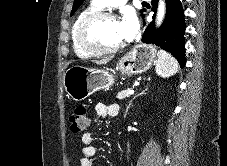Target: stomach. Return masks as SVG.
<instances>
[{"instance_id": "1", "label": "stomach", "mask_w": 227, "mask_h": 166, "mask_svg": "<svg viewBox=\"0 0 227 166\" xmlns=\"http://www.w3.org/2000/svg\"><path fill=\"white\" fill-rule=\"evenodd\" d=\"M156 56L154 46L138 44L118 61L117 69L126 76L138 75L152 66ZM114 82V76L108 71L80 65H72L63 76L67 96L74 101H82L98 90L109 88Z\"/></svg>"}]
</instances>
